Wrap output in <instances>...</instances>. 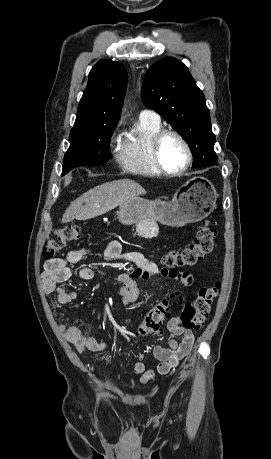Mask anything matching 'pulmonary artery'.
I'll list each match as a JSON object with an SVG mask.
<instances>
[{"label":"pulmonary artery","instance_id":"obj_1","mask_svg":"<svg viewBox=\"0 0 271 459\" xmlns=\"http://www.w3.org/2000/svg\"><path fill=\"white\" fill-rule=\"evenodd\" d=\"M140 118L150 119V120H154V121H157V120L160 119L158 114H156L153 111H148V110H143L140 113Z\"/></svg>","mask_w":271,"mask_h":459}]
</instances>
